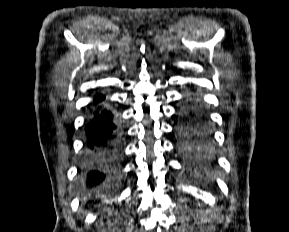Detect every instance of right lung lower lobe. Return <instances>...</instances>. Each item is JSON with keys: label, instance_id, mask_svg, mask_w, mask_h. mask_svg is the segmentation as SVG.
<instances>
[{"label": "right lung lower lobe", "instance_id": "98d812e1", "mask_svg": "<svg viewBox=\"0 0 289 232\" xmlns=\"http://www.w3.org/2000/svg\"><path fill=\"white\" fill-rule=\"evenodd\" d=\"M105 96L95 97L88 115L86 149L82 161L88 185L94 186L106 177V170L116 163L121 142V126L114 114L104 105Z\"/></svg>", "mask_w": 289, "mask_h": 232}]
</instances>
